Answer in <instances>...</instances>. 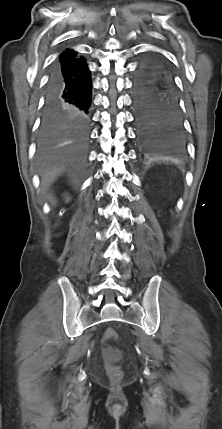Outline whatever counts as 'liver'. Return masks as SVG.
I'll return each mask as SVG.
<instances>
[{
    "mask_svg": "<svg viewBox=\"0 0 222 429\" xmlns=\"http://www.w3.org/2000/svg\"><path fill=\"white\" fill-rule=\"evenodd\" d=\"M61 169L53 168L50 171H46L44 175L42 176V188L45 189L49 187L57 178V176L60 174Z\"/></svg>",
    "mask_w": 222,
    "mask_h": 429,
    "instance_id": "6515ba94",
    "label": "liver"
}]
</instances>
